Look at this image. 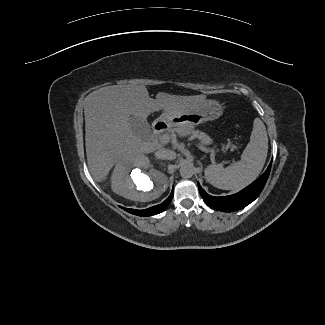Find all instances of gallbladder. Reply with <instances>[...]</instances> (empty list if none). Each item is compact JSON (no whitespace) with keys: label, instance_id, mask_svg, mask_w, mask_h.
I'll return each mask as SVG.
<instances>
[{"label":"gallbladder","instance_id":"obj_1","mask_svg":"<svg viewBox=\"0 0 325 325\" xmlns=\"http://www.w3.org/2000/svg\"><path fill=\"white\" fill-rule=\"evenodd\" d=\"M130 128L133 133L143 140H149L152 136L150 124L147 120L140 119L134 115L130 116Z\"/></svg>","mask_w":325,"mask_h":325}]
</instances>
